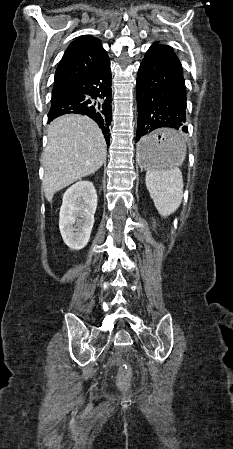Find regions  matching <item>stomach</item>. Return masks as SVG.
Here are the masks:
<instances>
[{"mask_svg":"<svg viewBox=\"0 0 233 449\" xmlns=\"http://www.w3.org/2000/svg\"><path fill=\"white\" fill-rule=\"evenodd\" d=\"M176 136L177 132L167 128H154L153 133H146L138 146V163L150 168H166L180 163L185 152Z\"/></svg>","mask_w":233,"mask_h":449,"instance_id":"stomach-1","label":"stomach"}]
</instances>
